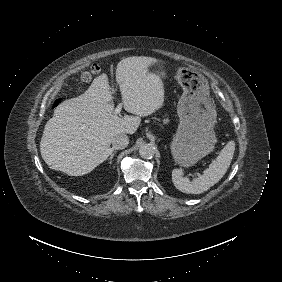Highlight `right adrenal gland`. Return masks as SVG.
Returning <instances> with one entry per match:
<instances>
[{
  "label": "right adrenal gland",
  "mask_w": 282,
  "mask_h": 282,
  "mask_svg": "<svg viewBox=\"0 0 282 282\" xmlns=\"http://www.w3.org/2000/svg\"><path fill=\"white\" fill-rule=\"evenodd\" d=\"M116 153H117L116 150H114L113 148H110V157L108 158L109 164H112V159Z\"/></svg>",
  "instance_id": "right-adrenal-gland-1"
}]
</instances>
